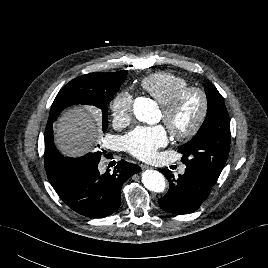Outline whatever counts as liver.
<instances>
[{"instance_id": "1", "label": "liver", "mask_w": 268, "mask_h": 268, "mask_svg": "<svg viewBox=\"0 0 268 268\" xmlns=\"http://www.w3.org/2000/svg\"><path fill=\"white\" fill-rule=\"evenodd\" d=\"M55 143L69 156L88 152L99 138V130L89 109L75 107L65 112L55 124Z\"/></svg>"}]
</instances>
